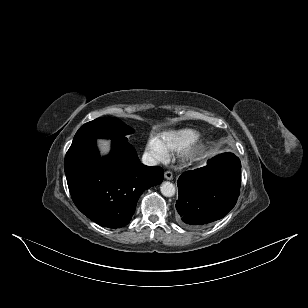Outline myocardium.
<instances>
[{"label": "myocardium", "mask_w": 308, "mask_h": 308, "mask_svg": "<svg viewBox=\"0 0 308 308\" xmlns=\"http://www.w3.org/2000/svg\"><path fill=\"white\" fill-rule=\"evenodd\" d=\"M203 150L204 144L196 139L187 148L184 149L182 153V158L184 161L195 160L202 154Z\"/></svg>", "instance_id": "myocardium-1"}]
</instances>
